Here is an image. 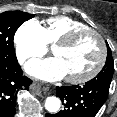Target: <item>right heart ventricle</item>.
Returning <instances> with one entry per match:
<instances>
[{
	"instance_id": "right-heart-ventricle-1",
	"label": "right heart ventricle",
	"mask_w": 117,
	"mask_h": 117,
	"mask_svg": "<svg viewBox=\"0 0 117 117\" xmlns=\"http://www.w3.org/2000/svg\"><path fill=\"white\" fill-rule=\"evenodd\" d=\"M41 28L45 43L53 45L69 32L87 28V26L67 16H56L45 20Z\"/></svg>"
}]
</instances>
